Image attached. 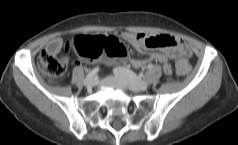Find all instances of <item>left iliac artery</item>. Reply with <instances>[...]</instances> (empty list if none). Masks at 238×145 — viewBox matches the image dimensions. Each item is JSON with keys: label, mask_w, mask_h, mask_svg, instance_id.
<instances>
[{"label": "left iliac artery", "mask_w": 238, "mask_h": 145, "mask_svg": "<svg viewBox=\"0 0 238 145\" xmlns=\"http://www.w3.org/2000/svg\"><path fill=\"white\" fill-rule=\"evenodd\" d=\"M153 65L152 64H148L147 68L148 69H152Z\"/></svg>", "instance_id": "left-iliac-artery-1"}]
</instances>
